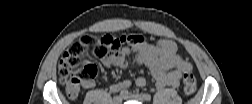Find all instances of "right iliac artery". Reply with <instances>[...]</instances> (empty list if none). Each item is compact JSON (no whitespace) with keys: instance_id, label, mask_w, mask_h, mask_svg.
<instances>
[{"instance_id":"obj_1","label":"right iliac artery","mask_w":252,"mask_h":104,"mask_svg":"<svg viewBox=\"0 0 252 104\" xmlns=\"http://www.w3.org/2000/svg\"><path fill=\"white\" fill-rule=\"evenodd\" d=\"M127 95H128V91L127 90H123V91L120 92V96L122 98H125Z\"/></svg>"}]
</instances>
